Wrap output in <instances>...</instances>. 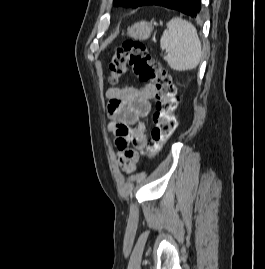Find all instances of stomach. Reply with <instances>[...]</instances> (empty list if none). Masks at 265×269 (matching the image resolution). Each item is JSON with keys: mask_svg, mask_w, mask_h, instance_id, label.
<instances>
[{"mask_svg": "<svg viewBox=\"0 0 265 269\" xmlns=\"http://www.w3.org/2000/svg\"><path fill=\"white\" fill-rule=\"evenodd\" d=\"M152 31V23L147 21H140L128 28L127 35L134 39L146 40L150 37Z\"/></svg>", "mask_w": 265, "mask_h": 269, "instance_id": "obj_1", "label": "stomach"}]
</instances>
